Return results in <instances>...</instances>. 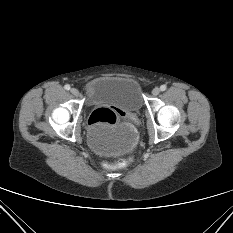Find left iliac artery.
Wrapping results in <instances>:
<instances>
[{"mask_svg": "<svg viewBox=\"0 0 233 233\" xmlns=\"http://www.w3.org/2000/svg\"><path fill=\"white\" fill-rule=\"evenodd\" d=\"M166 88H167L166 85H161V86H160V90H161V91H165Z\"/></svg>", "mask_w": 233, "mask_h": 233, "instance_id": "44dca946", "label": "left iliac artery"}]
</instances>
